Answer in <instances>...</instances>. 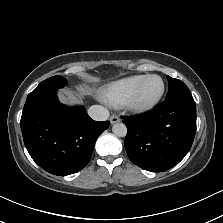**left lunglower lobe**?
<instances>
[{
	"instance_id": "left-lung-lower-lobe-1",
	"label": "left lung lower lobe",
	"mask_w": 223,
	"mask_h": 223,
	"mask_svg": "<svg viewBox=\"0 0 223 223\" xmlns=\"http://www.w3.org/2000/svg\"><path fill=\"white\" fill-rule=\"evenodd\" d=\"M123 122L130 160L145 170L162 172L189 152L196 132V104L188 99L165 100L149 112L123 117Z\"/></svg>"
}]
</instances>
